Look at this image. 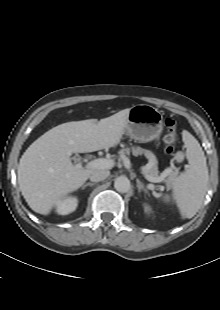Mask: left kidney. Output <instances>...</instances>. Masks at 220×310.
I'll return each mask as SVG.
<instances>
[{"mask_svg": "<svg viewBox=\"0 0 220 310\" xmlns=\"http://www.w3.org/2000/svg\"><path fill=\"white\" fill-rule=\"evenodd\" d=\"M145 211H149V207L148 206H145Z\"/></svg>", "mask_w": 220, "mask_h": 310, "instance_id": "obj_1", "label": "left kidney"}]
</instances>
